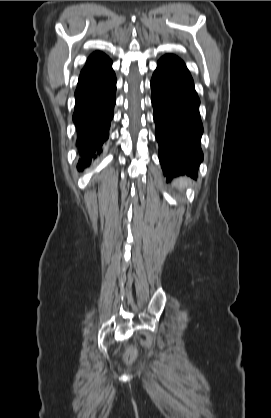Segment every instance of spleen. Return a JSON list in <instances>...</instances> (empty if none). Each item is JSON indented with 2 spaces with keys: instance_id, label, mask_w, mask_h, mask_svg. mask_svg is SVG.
<instances>
[{
  "instance_id": "spleen-1",
  "label": "spleen",
  "mask_w": 271,
  "mask_h": 418,
  "mask_svg": "<svg viewBox=\"0 0 271 418\" xmlns=\"http://www.w3.org/2000/svg\"><path fill=\"white\" fill-rule=\"evenodd\" d=\"M175 183L180 190H183L185 187L188 186V184L191 183V180L187 177H180L176 179Z\"/></svg>"
}]
</instances>
